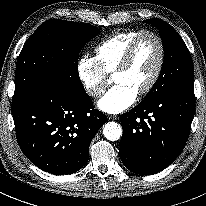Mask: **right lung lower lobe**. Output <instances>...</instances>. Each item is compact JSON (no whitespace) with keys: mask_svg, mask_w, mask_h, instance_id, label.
Wrapping results in <instances>:
<instances>
[{"mask_svg":"<svg viewBox=\"0 0 206 206\" xmlns=\"http://www.w3.org/2000/svg\"><path fill=\"white\" fill-rule=\"evenodd\" d=\"M18 144L38 168L54 175L72 174L88 161L89 145L107 122L89 95L46 84L12 103Z\"/></svg>","mask_w":206,"mask_h":206,"instance_id":"obj_1","label":"right lung lower lobe"}]
</instances>
